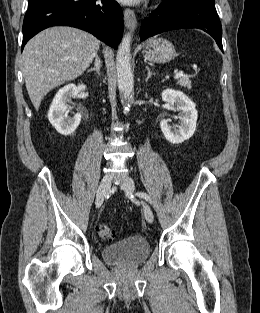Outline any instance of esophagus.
Wrapping results in <instances>:
<instances>
[{"label": "esophagus", "instance_id": "1", "mask_svg": "<svg viewBox=\"0 0 260 313\" xmlns=\"http://www.w3.org/2000/svg\"><path fill=\"white\" fill-rule=\"evenodd\" d=\"M125 26L128 29H135L137 26V19L133 10L126 8L124 10Z\"/></svg>", "mask_w": 260, "mask_h": 313}]
</instances>
